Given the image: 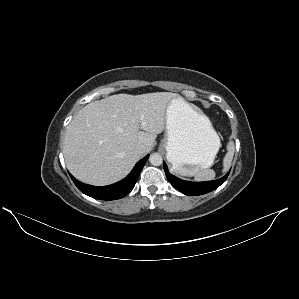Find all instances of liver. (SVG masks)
<instances>
[{"mask_svg": "<svg viewBox=\"0 0 299 299\" xmlns=\"http://www.w3.org/2000/svg\"><path fill=\"white\" fill-rule=\"evenodd\" d=\"M177 94H117L87 104L66 128L63 154L78 180L96 186L123 179L152 149L166 127V109ZM138 144L144 152L135 151Z\"/></svg>", "mask_w": 299, "mask_h": 299, "instance_id": "obj_1", "label": "liver"}]
</instances>
